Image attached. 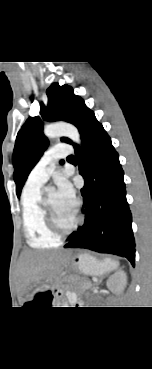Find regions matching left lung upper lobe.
<instances>
[{
    "label": "left lung upper lobe",
    "mask_w": 152,
    "mask_h": 369,
    "mask_svg": "<svg viewBox=\"0 0 152 369\" xmlns=\"http://www.w3.org/2000/svg\"><path fill=\"white\" fill-rule=\"evenodd\" d=\"M48 106L41 103L40 114L46 121H66L74 124L81 133L87 119L93 114L84 100L75 95L72 87L52 84L47 89ZM43 122L40 117H30L22 126L16 137L13 152V178L16 183V194L19 197L21 189L32 168L39 161L49 142L43 135ZM62 141L72 144L68 138Z\"/></svg>",
    "instance_id": "5c2ea615"
}]
</instances>
